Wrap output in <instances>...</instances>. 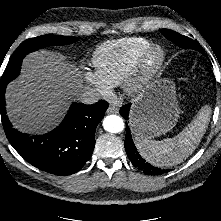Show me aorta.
Here are the masks:
<instances>
[{"mask_svg": "<svg viewBox=\"0 0 221 221\" xmlns=\"http://www.w3.org/2000/svg\"><path fill=\"white\" fill-rule=\"evenodd\" d=\"M103 127L110 133H119L124 129V122L118 115H108L103 120Z\"/></svg>", "mask_w": 221, "mask_h": 221, "instance_id": "obj_1", "label": "aorta"}]
</instances>
